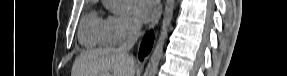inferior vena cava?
I'll return each mask as SVG.
<instances>
[{
    "label": "inferior vena cava",
    "mask_w": 287,
    "mask_h": 76,
    "mask_svg": "<svg viewBox=\"0 0 287 76\" xmlns=\"http://www.w3.org/2000/svg\"><path fill=\"white\" fill-rule=\"evenodd\" d=\"M140 29L141 26L139 24L133 23L130 27L126 41L122 43L118 49L121 53L128 55L132 62H134L133 58L128 54V52L133 48L135 42L137 41L140 34Z\"/></svg>",
    "instance_id": "1"
}]
</instances>
